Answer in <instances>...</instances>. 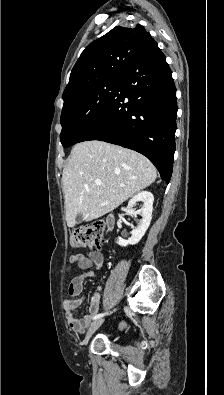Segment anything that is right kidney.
Segmentation results:
<instances>
[{"label":"right kidney","instance_id":"ca27d5eb","mask_svg":"<svg viewBox=\"0 0 224 395\" xmlns=\"http://www.w3.org/2000/svg\"><path fill=\"white\" fill-rule=\"evenodd\" d=\"M153 201V194L148 191H142L129 200L127 211H132V207L135 206L137 202L143 203L142 211L140 213L142 219L139 221L138 226L131 231V237L128 240H124L121 237L116 239V243L118 245L122 247L135 245L142 239L152 219Z\"/></svg>","mask_w":224,"mask_h":395}]
</instances>
